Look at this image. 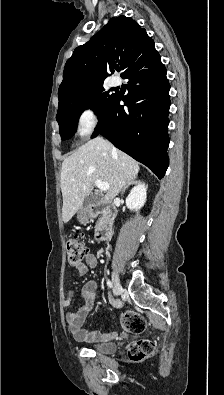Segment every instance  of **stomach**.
<instances>
[{
    "instance_id": "0dacf381",
    "label": "stomach",
    "mask_w": 224,
    "mask_h": 395,
    "mask_svg": "<svg viewBox=\"0 0 224 395\" xmlns=\"http://www.w3.org/2000/svg\"><path fill=\"white\" fill-rule=\"evenodd\" d=\"M87 219H88V217H87L85 214H79V215H78V220H79L81 223H85V222L87 221Z\"/></svg>"
}]
</instances>
